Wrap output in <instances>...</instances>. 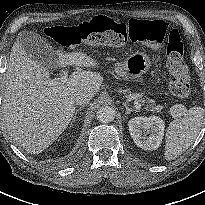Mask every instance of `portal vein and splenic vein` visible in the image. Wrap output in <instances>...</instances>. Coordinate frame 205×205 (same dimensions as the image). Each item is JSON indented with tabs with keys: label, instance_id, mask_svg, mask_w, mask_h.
Segmentation results:
<instances>
[{
	"label": "portal vein and splenic vein",
	"instance_id": "obj_1",
	"mask_svg": "<svg viewBox=\"0 0 205 205\" xmlns=\"http://www.w3.org/2000/svg\"><path fill=\"white\" fill-rule=\"evenodd\" d=\"M67 80H68V72L63 71L59 78L50 79L46 81V84H48L49 86H57V85L66 83ZM134 106L137 110L141 109V104L138 101L134 102Z\"/></svg>",
	"mask_w": 205,
	"mask_h": 205
}]
</instances>
